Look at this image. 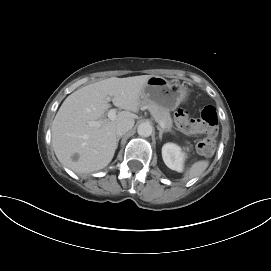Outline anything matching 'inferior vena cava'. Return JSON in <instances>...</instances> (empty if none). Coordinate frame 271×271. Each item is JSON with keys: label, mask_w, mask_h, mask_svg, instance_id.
Returning a JSON list of instances; mask_svg holds the SVG:
<instances>
[{"label": "inferior vena cava", "mask_w": 271, "mask_h": 271, "mask_svg": "<svg viewBox=\"0 0 271 271\" xmlns=\"http://www.w3.org/2000/svg\"><path fill=\"white\" fill-rule=\"evenodd\" d=\"M133 126H134V120L133 119H123L122 121H120L116 126L117 137L124 135Z\"/></svg>", "instance_id": "1"}]
</instances>
